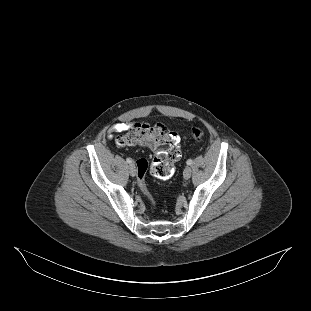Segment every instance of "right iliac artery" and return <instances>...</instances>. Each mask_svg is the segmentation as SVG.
<instances>
[{"label":"right iliac artery","mask_w":311,"mask_h":311,"mask_svg":"<svg viewBox=\"0 0 311 311\" xmlns=\"http://www.w3.org/2000/svg\"><path fill=\"white\" fill-rule=\"evenodd\" d=\"M126 162L130 164V163H132V160L130 158H127Z\"/></svg>","instance_id":"82829eb1"}]
</instances>
